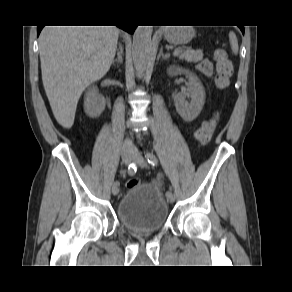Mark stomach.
<instances>
[{"label":"stomach","mask_w":292,"mask_h":292,"mask_svg":"<svg viewBox=\"0 0 292 292\" xmlns=\"http://www.w3.org/2000/svg\"><path fill=\"white\" fill-rule=\"evenodd\" d=\"M164 36L172 44H184L192 39L194 31L187 27H169L165 30Z\"/></svg>","instance_id":"1"}]
</instances>
